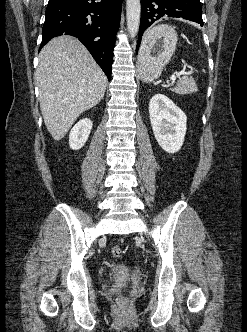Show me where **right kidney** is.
I'll return each mask as SVG.
<instances>
[{"label":"right kidney","mask_w":247,"mask_h":332,"mask_svg":"<svg viewBox=\"0 0 247 332\" xmlns=\"http://www.w3.org/2000/svg\"><path fill=\"white\" fill-rule=\"evenodd\" d=\"M91 129L92 122L88 118H84L75 124L69 134L70 148L73 150L81 149L88 140Z\"/></svg>","instance_id":"obj_1"}]
</instances>
